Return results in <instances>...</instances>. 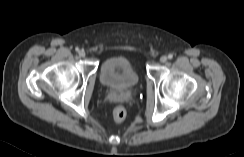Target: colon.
<instances>
[{"instance_id": "1", "label": "colon", "mask_w": 244, "mask_h": 157, "mask_svg": "<svg viewBox=\"0 0 244 157\" xmlns=\"http://www.w3.org/2000/svg\"><path fill=\"white\" fill-rule=\"evenodd\" d=\"M112 117L116 123L122 122L126 117V109L121 105L116 106L113 110Z\"/></svg>"}]
</instances>
